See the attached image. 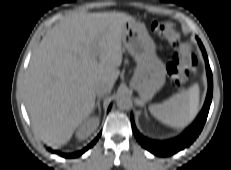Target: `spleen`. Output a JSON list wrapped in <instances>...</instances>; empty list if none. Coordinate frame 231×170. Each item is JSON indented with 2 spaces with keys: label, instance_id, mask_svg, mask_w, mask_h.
Returning a JSON list of instances; mask_svg holds the SVG:
<instances>
[{
  "label": "spleen",
  "instance_id": "1",
  "mask_svg": "<svg viewBox=\"0 0 231 170\" xmlns=\"http://www.w3.org/2000/svg\"><path fill=\"white\" fill-rule=\"evenodd\" d=\"M198 92L185 91L160 105L150 106V112L163 123L174 128H185L197 114Z\"/></svg>",
  "mask_w": 231,
  "mask_h": 170
}]
</instances>
